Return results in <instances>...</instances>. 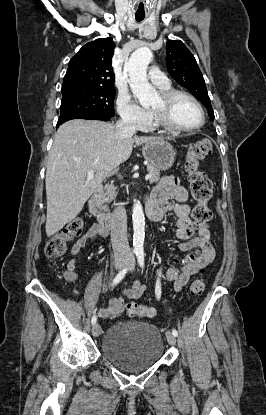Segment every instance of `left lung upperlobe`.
Returning <instances> with one entry per match:
<instances>
[{"instance_id": "obj_1", "label": "left lung upper lobe", "mask_w": 266, "mask_h": 415, "mask_svg": "<svg viewBox=\"0 0 266 415\" xmlns=\"http://www.w3.org/2000/svg\"><path fill=\"white\" fill-rule=\"evenodd\" d=\"M166 64L171 76L189 90L209 111L214 119L203 75L196 59L180 40H169L166 43Z\"/></svg>"}]
</instances>
